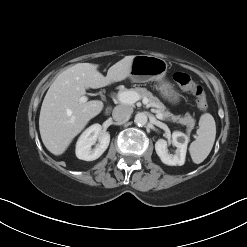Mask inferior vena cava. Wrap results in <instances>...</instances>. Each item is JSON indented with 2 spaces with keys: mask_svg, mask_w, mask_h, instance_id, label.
<instances>
[{
  "mask_svg": "<svg viewBox=\"0 0 247 247\" xmlns=\"http://www.w3.org/2000/svg\"><path fill=\"white\" fill-rule=\"evenodd\" d=\"M133 112L132 107L125 106V105H118L113 109V119L115 121H125L127 120Z\"/></svg>",
  "mask_w": 247,
  "mask_h": 247,
  "instance_id": "obj_1",
  "label": "inferior vena cava"
}]
</instances>
